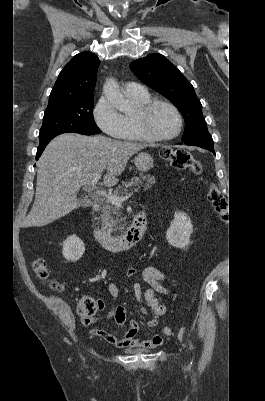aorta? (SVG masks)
<instances>
[{
  "instance_id": "1",
  "label": "aorta",
  "mask_w": 265,
  "mask_h": 401,
  "mask_svg": "<svg viewBox=\"0 0 265 401\" xmlns=\"http://www.w3.org/2000/svg\"><path fill=\"white\" fill-rule=\"evenodd\" d=\"M103 94L107 96L108 100L112 102L115 108H118V110H123V112L126 110L128 102L125 100L121 92V88L115 78H106L103 84Z\"/></svg>"
}]
</instances>
